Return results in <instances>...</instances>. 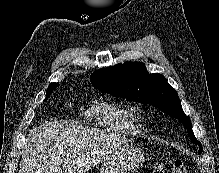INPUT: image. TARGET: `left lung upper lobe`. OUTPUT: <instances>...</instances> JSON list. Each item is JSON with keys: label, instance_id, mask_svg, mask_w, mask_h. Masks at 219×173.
Instances as JSON below:
<instances>
[{"label": "left lung upper lobe", "instance_id": "left-lung-upper-lobe-1", "mask_svg": "<svg viewBox=\"0 0 219 173\" xmlns=\"http://www.w3.org/2000/svg\"><path fill=\"white\" fill-rule=\"evenodd\" d=\"M90 81L98 89L116 97L142 104H151L171 117L178 118L187 129L190 139L203 150L195 138L191 120L185 115L177 92L158 73L149 74L142 62H125L95 71Z\"/></svg>", "mask_w": 219, "mask_h": 173}]
</instances>
